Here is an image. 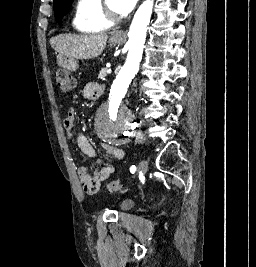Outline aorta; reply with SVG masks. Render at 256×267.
I'll return each mask as SVG.
<instances>
[{"mask_svg":"<svg viewBox=\"0 0 256 267\" xmlns=\"http://www.w3.org/2000/svg\"><path fill=\"white\" fill-rule=\"evenodd\" d=\"M153 6L154 0H145L132 20L128 32L127 60L119 75H116V81H113L108 101L102 104V108H97L95 127H130V122L134 120L130 117V108L119 103L126 94L128 83H131L132 77L139 70ZM92 133H96V138H106V143H131V138H120V133H125V128H92Z\"/></svg>","mask_w":256,"mask_h":267,"instance_id":"obj_1","label":"aorta"}]
</instances>
